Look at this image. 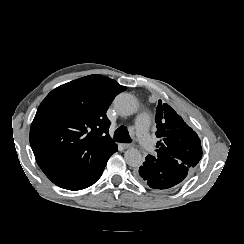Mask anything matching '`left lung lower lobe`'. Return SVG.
Returning <instances> with one entry per match:
<instances>
[{
  "label": "left lung lower lobe",
  "instance_id": "obj_1",
  "mask_svg": "<svg viewBox=\"0 0 244 244\" xmlns=\"http://www.w3.org/2000/svg\"><path fill=\"white\" fill-rule=\"evenodd\" d=\"M146 161L136 173L137 180L142 184H148L154 189H167L180 183L188 174L189 169L185 165L168 156L148 155Z\"/></svg>",
  "mask_w": 244,
  "mask_h": 244
}]
</instances>
